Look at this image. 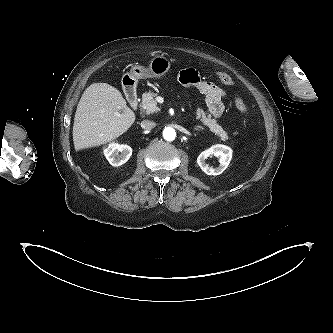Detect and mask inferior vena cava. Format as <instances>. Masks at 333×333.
<instances>
[{
    "label": "inferior vena cava",
    "instance_id": "obj_1",
    "mask_svg": "<svg viewBox=\"0 0 333 333\" xmlns=\"http://www.w3.org/2000/svg\"><path fill=\"white\" fill-rule=\"evenodd\" d=\"M155 126H156L155 122L150 121V120H143V121L141 122V127H142L143 129H152V128H154Z\"/></svg>",
    "mask_w": 333,
    "mask_h": 333
}]
</instances>
